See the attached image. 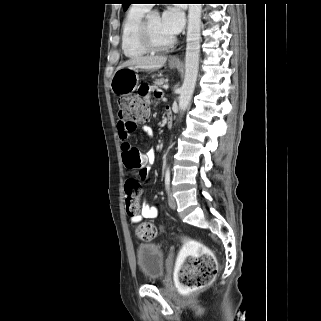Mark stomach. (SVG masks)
I'll use <instances>...</instances> for the list:
<instances>
[{
	"label": "stomach",
	"mask_w": 321,
	"mask_h": 321,
	"mask_svg": "<svg viewBox=\"0 0 321 321\" xmlns=\"http://www.w3.org/2000/svg\"><path fill=\"white\" fill-rule=\"evenodd\" d=\"M177 63L170 62L169 67L175 68ZM138 70L124 67L117 69L111 79V90L114 94L124 96L133 92L139 83Z\"/></svg>",
	"instance_id": "1"
}]
</instances>
